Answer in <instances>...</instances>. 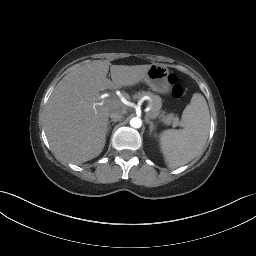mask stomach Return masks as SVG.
I'll use <instances>...</instances> for the list:
<instances>
[{
	"label": "stomach",
	"mask_w": 256,
	"mask_h": 256,
	"mask_svg": "<svg viewBox=\"0 0 256 256\" xmlns=\"http://www.w3.org/2000/svg\"><path fill=\"white\" fill-rule=\"evenodd\" d=\"M168 77V68L163 64L154 63L151 65L143 80L154 92L167 94L171 88Z\"/></svg>",
	"instance_id": "1"
}]
</instances>
